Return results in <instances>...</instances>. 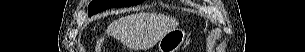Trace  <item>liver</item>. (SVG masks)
Listing matches in <instances>:
<instances>
[{
	"instance_id": "obj_1",
	"label": "liver",
	"mask_w": 305,
	"mask_h": 52,
	"mask_svg": "<svg viewBox=\"0 0 305 52\" xmlns=\"http://www.w3.org/2000/svg\"><path fill=\"white\" fill-rule=\"evenodd\" d=\"M142 16L139 14H133L125 17H121L114 22H112L105 32L108 36H113L116 38L123 37L126 33H130L139 27ZM178 22L173 18H165L160 25L157 27V32L152 40V45L157 43L159 39L165 35L168 31L177 28ZM104 37L97 40L96 52H99L101 46L103 45Z\"/></svg>"
}]
</instances>
